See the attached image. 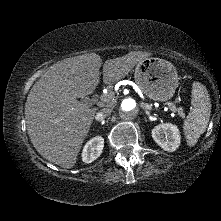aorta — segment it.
<instances>
[{
    "label": "aorta",
    "instance_id": "762f6f07",
    "mask_svg": "<svg viewBox=\"0 0 221 221\" xmlns=\"http://www.w3.org/2000/svg\"><path fill=\"white\" fill-rule=\"evenodd\" d=\"M139 113V106L135 99L125 98L119 105V115L124 120H133Z\"/></svg>",
    "mask_w": 221,
    "mask_h": 221
}]
</instances>
